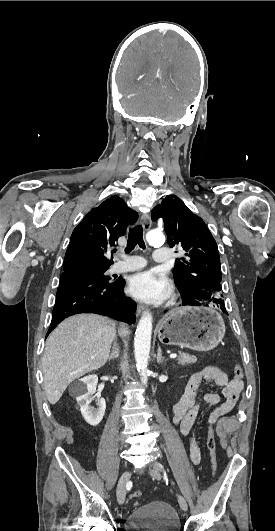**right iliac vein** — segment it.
Wrapping results in <instances>:
<instances>
[{"label":"right iliac vein","instance_id":"right-iliac-vein-1","mask_svg":"<svg viewBox=\"0 0 275 531\" xmlns=\"http://www.w3.org/2000/svg\"><path fill=\"white\" fill-rule=\"evenodd\" d=\"M130 475H131L130 472L126 471L121 475L118 481L117 488H116V495H117V500L119 504H123L125 502L126 486L130 479Z\"/></svg>","mask_w":275,"mask_h":531}]
</instances>
